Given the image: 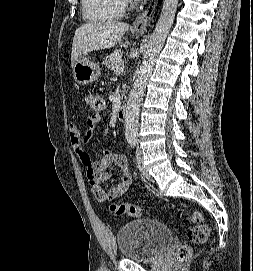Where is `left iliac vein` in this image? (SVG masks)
Listing matches in <instances>:
<instances>
[{"label": "left iliac vein", "mask_w": 253, "mask_h": 271, "mask_svg": "<svg viewBox=\"0 0 253 271\" xmlns=\"http://www.w3.org/2000/svg\"><path fill=\"white\" fill-rule=\"evenodd\" d=\"M136 165L137 168L139 169V171L142 173V175L146 178H150V175L148 173V170L146 169V167L144 166L143 163V155H142V150L140 148H138L136 150Z\"/></svg>", "instance_id": "obj_1"}]
</instances>
